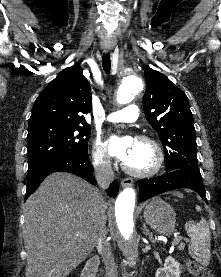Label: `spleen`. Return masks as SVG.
<instances>
[{
    "mask_svg": "<svg viewBox=\"0 0 221 277\" xmlns=\"http://www.w3.org/2000/svg\"><path fill=\"white\" fill-rule=\"evenodd\" d=\"M196 209L201 210L199 206H196ZM185 230L191 238L188 248L190 256L203 266H208L211 258V237L207 222L204 219L198 223L189 221L185 224Z\"/></svg>",
    "mask_w": 221,
    "mask_h": 277,
    "instance_id": "1",
    "label": "spleen"
}]
</instances>
